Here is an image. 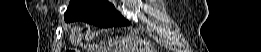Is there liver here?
Listing matches in <instances>:
<instances>
[{"instance_id": "6515ba94", "label": "liver", "mask_w": 261, "mask_h": 52, "mask_svg": "<svg viewBox=\"0 0 261 52\" xmlns=\"http://www.w3.org/2000/svg\"><path fill=\"white\" fill-rule=\"evenodd\" d=\"M71 36L73 37L75 42L81 44L82 33H81V29L79 27H74L72 29Z\"/></svg>"}]
</instances>
